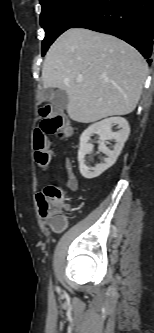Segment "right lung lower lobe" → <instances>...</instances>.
Returning a JSON list of instances; mask_svg holds the SVG:
<instances>
[{"label": "right lung lower lobe", "mask_w": 154, "mask_h": 333, "mask_svg": "<svg viewBox=\"0 0 154 333\" xmlns=\"http://www.w3.org/2000/svg\"><path fill=\"white\" fill-rule=\"evenodd\" d=\"M71 28L114 35L134 46L151 63L154 0H99Z\"/></svg>", "instance_id": "obj_1"}]
</instances>
